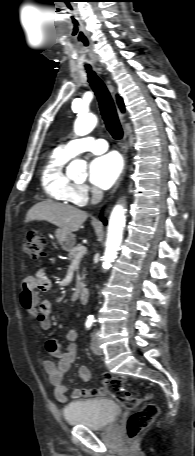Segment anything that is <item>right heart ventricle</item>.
Returning <instances> with one entry per match:
<instances>
[{
	"mask_svg": "<svg viewBox=\"0 0 195 456\" xmlns=\"http://www.w3.org/2000/svg\"><path fill=\"white\" fill-rule=\"evenodd\" d=\"M60 148L49 156L41 173V185L48 197L59 202H72L73 183L64 173V166L70 159Z\"/></svg>",
	"mask_w": 195,
	"mask_h": 456,
	"instance_id": "e07e8e85",
	"label": "right heart ventricle"
}]
</instances>
